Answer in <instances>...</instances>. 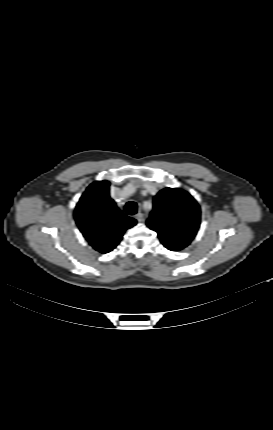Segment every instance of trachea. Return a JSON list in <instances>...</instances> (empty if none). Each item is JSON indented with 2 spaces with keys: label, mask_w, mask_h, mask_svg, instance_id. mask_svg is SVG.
Here are the masks:
<instances>
[{
  "label": "trachea",
  "mask_w": 273,
  "mask_h": 430,
  "mask_svg": "<svg viewBox=\"0 0 273 430\" xmlns=\"http://www.w3.org/2000/svg\"><path fill=\"white\" fill-rule=\"evenodd\" d=\"M125 210L128 215H134L137 213V204L133 201H130L126 204Z\"/></svg>",
  "instance_id": "3493384b"
}]
</instances>
